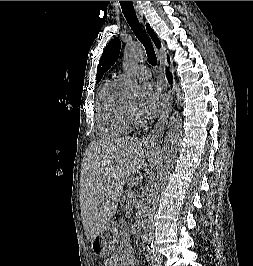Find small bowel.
Returning a JSON list of instances; mask_svg holds the SVG:
<instances>
[{
  "label": "small bowel",
  "instance_id": "c3829d8e",
  "mask_svg": "<svg viewBox=\"0 0 253 266\" xmlns=\"http://www.w3.org/2000/svg\"><path fill=\"white\" fill-rule=\"evenodd\" d=\"M105 266H135V261L123 251H117L105 261Z\"/></svg>",
  "mask_w": 253,
  "mask_h": 266
}]
</instances>
